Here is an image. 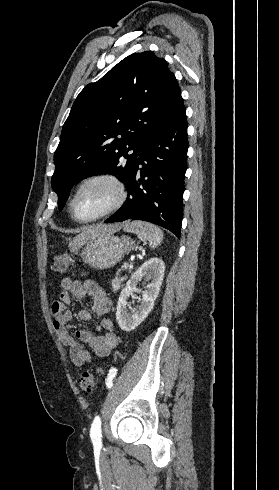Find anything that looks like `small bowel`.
Masks as SVG:
<instances>
[{"label":"small bowel","instance_id":"1","mask_svg":"<svg viewBox=\"0 0 279 490\" xmlns=\"http://www.w3.org/2000/svg\"><path fill=\"white\" fill-rule=\"evenodd\" d=\"M59 299L51 304L52 328L60 342L67 347L70 358L75 366L81 367L89 363L92 355L85 350L82 343L87 344L100 357L109 355L117 346V337L113 332V322L105 317L111 308V300L104 290L93 280H74L63 278L60 282ZM86 296L92 300L91 310L82 309L78 313L81 321H91L93 315L101 317L95 330L78 329L75 337L69 332L67 323L71 313L67 309L73 297L83 299Z\"/></svg>","mask_w":279,"mask_h":490}]
</instances>
